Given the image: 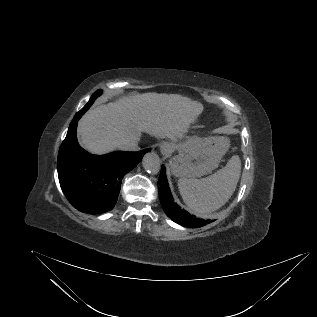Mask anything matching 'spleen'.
<instances>
[{
    "label": "spleen",
    "mask_w": 317,
    "mask_h": 317,
    "mask_svg": "<svg viewBox=\"0 0 317 317\" xmlns=\"http://www.w3.org/2000/svg\"><path fill=\"white\" fill-rule=\"evenodd\" d=\"M241 161L234 155L226 166L203 179L178 180L184 203L198 214H207L222 207L232 196L240 178Z\"/></svg>",
    "instance_id": "obj_1"
}]
</instances>
